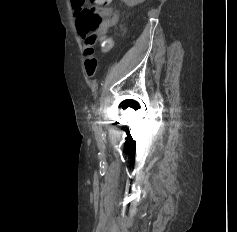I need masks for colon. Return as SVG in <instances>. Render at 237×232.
Segmentation results:
<instances>
[{"instance_id": "obj_1", "label": "colon", "mask_w": 237, "mask_h": 232, "mask_svg": "<svg viewBox=\"0 0 237 232\" xmlns=\"http://www.w3.org/2000/svg\"><path fill=\"white\" fill-rule=\"evenodd\" d=\"M91 2L106 5L111 0H90ZM75 11L76 25L87 43L93 45L100 42L103 48H110L111 41L102 30V21L100 14L94 7L87 5L86 0H71Z\"/></svg>"}]
</instances>
